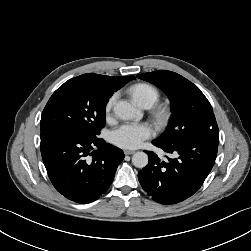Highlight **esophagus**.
Returning <instances> with one entry per match:
<instances>
[{
	"label": "esophagus",
	"mask_w": 251,
	"mask_h": 251,
	"mask_svg": "<svg viewBox=\"0 0 251 251\" xmlns=\"http://www.w3.org/2000/svg\"><path fill=\"white\" fill-rule=\"evenodd\" d=\"M134 153H135L134 150H124V154H125V155H132V154H134Z\"/></svg>",
	"instance_id": "esophagus-1"
}]
</instances>
